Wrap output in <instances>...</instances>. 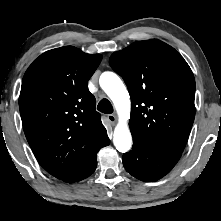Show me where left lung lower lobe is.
Instances as JSON below:
<instances>
[{
	"label": "left lung lower lobe",
	"instance_id": "obj_1",
	"mask_svg": "<svg viewBox=\"0 0 221 221\" xmlns=\"http://www.w3.org/2000/svg\"><path fill=\"white\" fill-rule=\"evenodd\" d=\"M181 153L151 147L133 137V147L122 157L127 172L142 181H155L165 176L176 165Z\"/></svg>",
	"mask_w": 221,
	"mask_h": 221
}]
</instances>
